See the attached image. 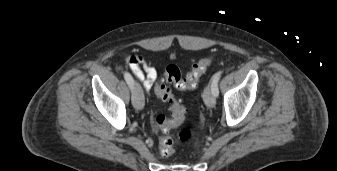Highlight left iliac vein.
Listing matches in <instances>:
<instances>
[{"label": "left iliac vein", "instance_id": "left-iliac-vein-1", "mask_svg": "<svg viewBox=\"0 0 337 171\" xmlns=\"http://www.w3.org/2000/svg\"><path fill=\"white\" fill-rule=\"evenodd\" d=\"M203 99L208 107H214L216 104L215 96L213 95L210 86H206L203 92Z\"/></svg>", "mask_w": 337, "mask_h": 171}]
</instances>
